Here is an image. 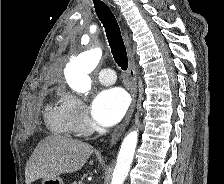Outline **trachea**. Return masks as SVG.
Listing matches in <instances>:
<instances>
[{
    "instance_id": "1",
    "label": "trachea",
    "mask_w": 224,
    "mask_h": 184,
    "mask_svg": "<svg viewBox=\"0 0 224 184\" xmlns=\"http://www.w3.org/2000/svg\"><path fill=\"white\" fill-rule=\"evenodd\" d=\"M93 2L96 14L105 28L113 58L122 70H127L128 57L118 22L104 2L100 0H93Z\"/></svg>"
}]
</instances>
